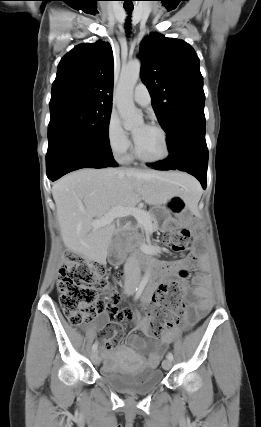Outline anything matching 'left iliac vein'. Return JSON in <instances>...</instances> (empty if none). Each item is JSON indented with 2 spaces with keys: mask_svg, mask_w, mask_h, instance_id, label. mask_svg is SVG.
<instances>
[{
  "mask_svg": "<svg viewBox=\"0 0 261 427\" xmlns=\"http://www.w3.org/2000/svg\"><path fill=\"white\" fill-rule=\"evenodd\" d=\"M162 367L165 370H169L172 367V362L168 358L162 362Z\"/></svg>",
  "mask_w": 261,
  "mask_h": 427,
  "instance_id": "obj_1",
  "label": "left iliac vein"
}]
</instances>
